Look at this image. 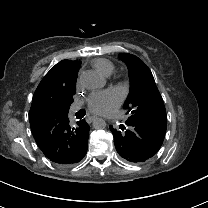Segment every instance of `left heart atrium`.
I'll return each instance as SVG.
<instances>
[{
    "instance_id": "39dd6f15",
    "label": "left heart atrium",
    "mask_w": 208,
    "mask_h": 208,
    "mask_svg": "<svg viewBox=\"0 0 208 208\" xmlns=\"http://www.w3.org/2000/svg\"><path fill=\"white\" fill-rule=\"evenodd\" d=\"M89 111L98 115L108 114L113 107L111 98L100 95L91 94L86 100Z\"/></svg>"
}]
</instances>
